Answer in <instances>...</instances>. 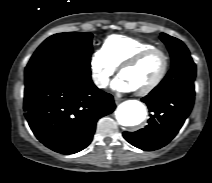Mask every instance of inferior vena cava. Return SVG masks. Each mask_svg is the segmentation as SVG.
Returning a JSON list of instances; mask_svg holds the SVG:
<instances>
[{"label":"inferior vena cava","mask_w":212,"mask_h":183,"mask_svg":"<svg viewBox=\"0 0 212 183\" xmlns=\"http://www.w3.org/2000/svg\"><path fill=\"white\" fill-rule=\"evenodd\" d=\"M95 84H96L97 86H99V87H102V86H103L102 83L99 82L98 80H95Z\"/></svg>","instance_id":"obj_1"}]
</instances>
